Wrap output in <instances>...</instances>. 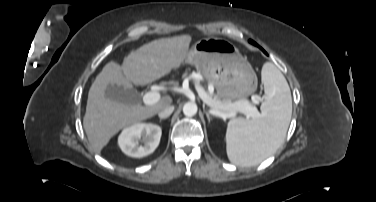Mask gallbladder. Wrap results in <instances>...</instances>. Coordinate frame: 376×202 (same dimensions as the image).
<instances>
[{
  "mask_svg": "<svg viewBox=\"0 0 376 202\" xmlns=\"http://www.w3.org/2000/svg\"><path fill=\"white\" fill-rule=\"evenodd\" d=\"M138 92L134 88H123L115 85H108L105 89V97L119 103H134Z\"/></svg>",
  "mask_w": 376,
  "mask_h": 202,
  "instance_id": "obj_1",
  "label": "gallbladder"
}]
</instances>
